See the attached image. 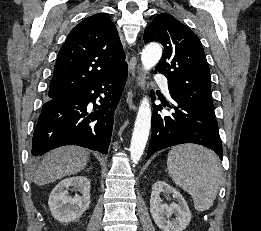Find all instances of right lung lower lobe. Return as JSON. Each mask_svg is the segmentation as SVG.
I'll return each instance as SVG.
<instances>
[{
    "label": "right lung lower lobe",
    "instance_id": "1",
    "mask_svg": "<svg viewBox=\"0 0 261 231\" xmlns=\"http://www.w3.org/2000/svg\"><path fill=\"white\" fill-rule=\"evenodd\" d=\"M126 79L127 65L76 93L47 101L34 131L32 155H43L63 145H79L107 154L114 110ZM97 98L100 104L95 103Z\"/></svg>",
    "mask_w": 261,
    "mask_h": 231
}]
</instances>
